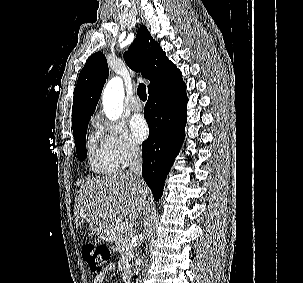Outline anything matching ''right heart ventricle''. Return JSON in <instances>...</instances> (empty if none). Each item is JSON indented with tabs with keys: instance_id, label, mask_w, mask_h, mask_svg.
<instances>
[{
	"instance_id": "1",
	"label": "right heart ventricle",
	"mask_w": 303,
	"mask_h": 283,
	"mask_svg": "<svg viewBox=\"0 0 303 283\" xmlns=\"http://www.w3.org/2000/svg\"><path fill=\"white\" fill-rule=\"evenodd\" d=\"M88 157L92 170L97 173H111L118 167L93 137L88 141Z\"/></svg>"
}]
</instances>
